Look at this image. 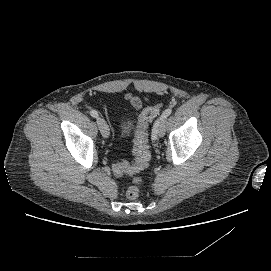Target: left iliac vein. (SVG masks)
Instances as JSON below:
<instances>
[{"label": "left iliac vein", "mask_w": 271, "mask_h": 271, "mask_svg": "<svg viewBox=\"0 0 271 271\" xmlns=\"http://www.w3.org/2000/svg\"><path fill=\"white\" fill-rule=\"evenodd\" d=\"M165 131H166V119H162L160 120L159 126H158L159 137H163L165 135Z\"/></svg>", "instance_id": "left-iliac-vein-1"}]
</instances>
